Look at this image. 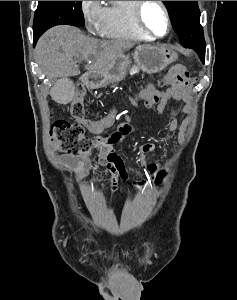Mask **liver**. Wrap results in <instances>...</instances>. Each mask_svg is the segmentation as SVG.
Instances as JSON below:
<instances>
[{"label":"liver","instance_id":"1","mask_svg":"<svg viewBox=\"0 0 237 300\" xmlns=\"http://www.w3.org/2000/svg\"><path fill=\"white\" fill-rule=\"evenodd\" d=\"M129 41H102L83 35L76 27H52L40 37L36 55L38 63L46 75L58 79L59 76L80 75L76 59L91 61L85 65L86 71H100L131 49Z\"/></svg>","mask_w":237,"mask_h":300}]
</instances>
